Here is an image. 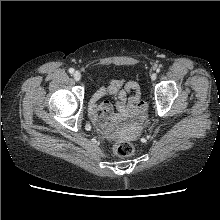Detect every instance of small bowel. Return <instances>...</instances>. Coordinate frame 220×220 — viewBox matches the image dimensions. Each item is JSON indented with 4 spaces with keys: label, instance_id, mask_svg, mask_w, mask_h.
I'll return each instance as SVG.
<instances>
[{
    "label": "small bowel",
    "instance_id": "obj_1",
    "mask_svg": "<svg viewBox=\"0 0 220 220\" xmlns=\"http://www.w3.org/2000/svg\"><path fill=\"white\" fill-rule=\"evenodd\" d=\"M129 93H132L128 96ZM106 94L114 96L117 113H113L112 105L109 101L98 104V100ZM146 104L141 99V88L135 81H125L123 79L111 80L107 86L100 88L92 97L88 106V114L103 134L111 132L112 121H122L129 117L140 116Z\"/></svg>",
    "mask_w": 220,
    "mask_h": 220
}]
</instances>
